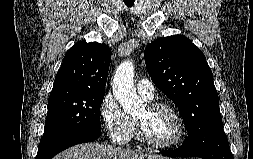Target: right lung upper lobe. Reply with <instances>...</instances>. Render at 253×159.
I'll return each instance as SVG.
<instances>
[{
	"label": "right lung upper lobe",
	"mask_w": 253,
	"mask_h": 159,
	"mask_svg": "<svg viewBox=\"0 0 253 159\" xmlns=\"http://www.w3.org/2000/svg\"><path fill=\"white\" fill-rule=\"evenodd\" d=\"M110 61L111 50L106 44L77 42L66 53L49 98L105 92Z\"/></svg>",
	"instance_id": "obj_1"
}]
</instances>
